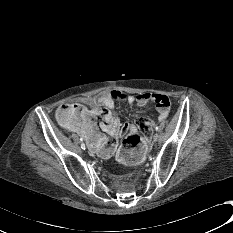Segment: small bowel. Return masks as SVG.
<instances>
[{
  "mask_svg": "<svg viewBox=\"0 0 233 233\" xmlns=\"http://www.w3.org/2000/svg\"><path fill=\"white\" fill-rule=\"evenodd\" d=\"M118 102L131 106L137 105L139 107H146L150 103H155L160 120L167 117L170 104L168 97L164 95L152 93L132 95L117 90L101 92L95 96L78 99L75 104L81 106V111L76 115L71 124L66 125V128L71 132L81 135L86 141L90 152L101 158L111 157L117 149L120 135L124 131L134 128L130 125L121 126L108 111L104 120L101 121V128L104 134H100L97 131L94 122L95 111L100 108L111 109ZM147 124L151 129L154 122L152 119H148ZM149 156V149L144 145H138L119 150L115 155V160L121 166H135L146 161Z\"/></svg>",
  "mask_w": 233,
  "mask_h": 233,
  "instance_id": "obj_1",
  "label": "small bowel"
}]
</instances>
